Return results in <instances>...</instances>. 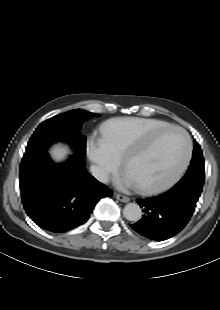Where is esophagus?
Instances as JSON below:
<instances>
[{
    "label": "esophagus",
    "instance_id": "1",
    "mask_svg": "<svg viewBox=\"0 0 220 310\" xmlns=\"http://www.w3.org/2000/svg\"><path fill=\"white\" fill-rule=\"evenodd\" d=\"M117 198H118L119 200H121V201H124V202L128 201V198L125 197V196H123V195L117 194Z\"/></svg>",
    "mask_w": 220,
    "mask_h": 310
}]
</instances>
